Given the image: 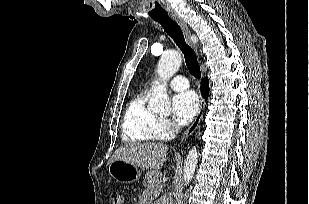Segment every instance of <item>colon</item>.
Instances as JSON below:
<instances>
[{
	"label": "colon",
	"instance_id": "1",
	"mask_svg": "<svg viewBox=\"0 0 309 204\" xmlns=\"http://www.w3.org/2000/svg\"><path fill=\"white\" fill-rule=\"evenodd\" d=\"M113 204H122V195L119 192L112 194Z\"/></svg>",
	"mask_w": 309,
	"mask_h": 204
}]
</instances>
